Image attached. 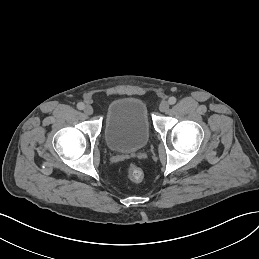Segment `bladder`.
<instances>
[{"label":"bladder","instance_id":"1","mask_svg":"<svg viewBox=\"0 0 259 259\" xmlns=\"http://www.w3.org/2000/svg\"><path fill=\"white\" fill-rule=\"evenodd\" d=\"M150 125L144 102L133 96L113 100L107 109L104 137L116 152H134L149 140Z\"/></svg>","mask_w":259,"mask_h":259}]
</instances>
